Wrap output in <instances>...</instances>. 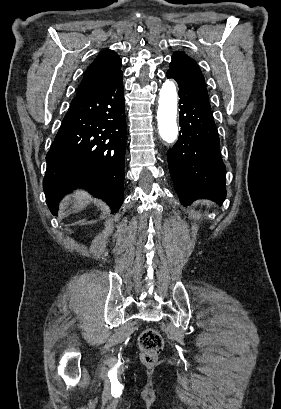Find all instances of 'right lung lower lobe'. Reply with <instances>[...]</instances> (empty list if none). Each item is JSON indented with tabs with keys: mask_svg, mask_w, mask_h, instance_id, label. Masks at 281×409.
<instances>
[{
	"mask_svg": "<svg viewBox=\"0 0 281 409\" xmlns=\"http://www.w3.org/2000/svg\"><path fill=\"white\" fill-rule=\"evenodd\" d=\"M122 74L107 87L75 97L70 104L46 157L43 186L54 215L74 181L90 185L91 194L106 201L112 213L122 205L126 147Z\"/></svg>",
	"mask_w": 281,
	"mask_h": 409,
	"instance_id": "1",
	"label": "right lung lower lobe"
}]
</instances>
